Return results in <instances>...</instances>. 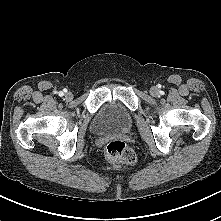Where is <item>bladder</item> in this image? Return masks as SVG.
I'll return each instance as SVG.
<instances>
[{
    "label": "bladder",
    "mask_w": 221,
    "mask_h": 221,
    "mask_svg": "<svg viewBox=\"0 0 221 221\" xmlns=\"http://www.w3.org/2000/svg\"><path fill=\"white\" fill-rule=\"evenodd\" d=\"M132 123V113L125 105L117 101H107L94 113L90 129L96 135L119 134L128 132Z\"/></svg>",
    "instance_id": "bladder-1"
}]
</instances>
